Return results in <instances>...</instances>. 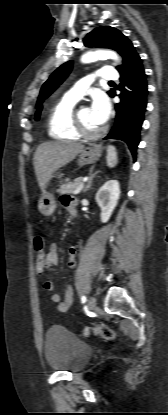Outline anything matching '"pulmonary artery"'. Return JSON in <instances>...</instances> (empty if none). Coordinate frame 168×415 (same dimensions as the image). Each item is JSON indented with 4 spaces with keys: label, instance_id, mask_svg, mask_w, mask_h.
Wrapping results in <instances>:
<instances>
[{
    "label": "pulmonary artery",
    "instance_id": "e3ab8cb5",
    "mask_svg": "<svg viewBox=\"0 0 168 415\" xmlns=\"http://www.w3.org/2000/svg\"><path fill=\"white\" fill-rule=\"evenodd\" d=\"M97 75L106 81H116L119 77L118 72L112 66H104L101 68ZM95 78V75H88L78 82H76L66 93V96L79 100L91 85Z\"/></svg>",
    "mask_w": 168,
    "mask_h": 415
}]
</instances>
